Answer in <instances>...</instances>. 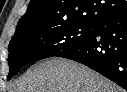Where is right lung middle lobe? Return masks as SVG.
I'll use <instances>...</instances> for the list:
<instances>
[{"mask_svg":"<svg viewBox=\"0 0 127 92\" xmlns=\"http://www.w3.org/2000/svg\"><path fill=\"white\" fill-rule=\"evenodd\" d=\"M94 27L90 24L39 27L12 38L8 46V78L30 62L56 56L88 39Z\"/></svg>","mask_w":127,"mask_h":92,"instance_id":"1","label":"right lung middle lobe"}]
</instances>
